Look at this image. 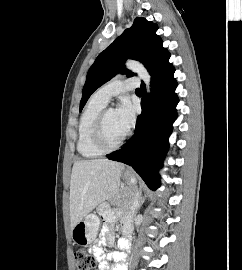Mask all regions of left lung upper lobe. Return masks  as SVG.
Segmentation results:
<instances>
[{"instance_id": "left-lung-upper-lobe-1", "label": "left lung upper lobe", "mask_w": 242, "mask_h": 270, "mask_svg": "<svg viewBox=\"0 0 242 270\" xmlns=\"http://www.w3.org/2000/svg\"><path fill=\"white\" fill-rule=\"evenodd\" d=\"M158 27L145 18H136L131 28L126 29L110 46L96 58L87 73L82 91L80 111L91 94L120 71H126V59L142 62L151 73L160 64L168 61L170 54L162 47V41L156 35ZM127 72V76H133Z\"/></svg>"}]
</instances>
